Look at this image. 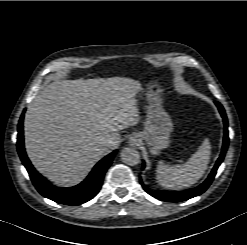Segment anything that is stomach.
<instances>
[{"label":"stomach","mask_w":247,"mask_h":245,"mask_svg":"<svg viewBox=\"0 0 247 245\" xmlns=\"http://www.w3.org/2000/svg\"><path fill=\"white\" fill-rule=\"evenodd\" d=\"M145 96L147 116L140 136L146 141L150 152L157 155L169 146L173 123L163 107L164 88L160 82L152 80L147 83Z\"/></svg>","instance_id":"0dacf381"}]
</instances>
